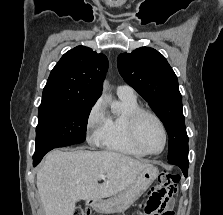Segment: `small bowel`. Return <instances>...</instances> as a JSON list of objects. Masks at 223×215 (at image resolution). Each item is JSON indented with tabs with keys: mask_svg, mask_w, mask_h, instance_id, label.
Segmentation results:
<instances>
[{
	"mask_svg": "<svg viewBox=\"0 0 223 215\" xmlns=\"http://www.w3.org/2000/svg\"><path fill=\"white\" fill-rule=\"evenodd\" d=\"M174 191H169L165 187H158L152 190L149 199L145 206L151 204L164 205L165 206V215H173L172 211V195ZM143 215H154L152 212L145 210Z\"/></svg>",
	"mask_w": 223,
	"mask_h": 215,
	"instance_id": "small-bowel-1",
	"label": "small bowel"
}]
</instances>
